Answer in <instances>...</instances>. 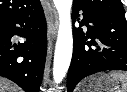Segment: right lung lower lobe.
<instances>
[{"mask_svg":"<svg viewBox=\"0 0 127 92\" xmlns=\"http://www.w3.org/2000/svg\"><path fill=\"white\" fill-rule=\"evenodd\" d=\"M25 39L16 42L14 36ZM47 50L46 20L41 3L32 11L0 21V76L26 92H39Z\"/></svg>","mask_w":127,"mask_h":92,"instance_id":"right-lung-lower-lobe-1","label":"right lung lower lobe"}]
</instances>
